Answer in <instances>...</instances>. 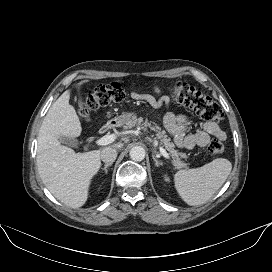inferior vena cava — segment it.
I'll return each mask as SVG.
<instances>
[{
    "label": "inferior vena cava",
    "mask_w": 272,
    "mask_h": 272,
    "mask_svg": "<svg viewBox=\"0 0 272 272\" xmlns=\"http://www.w3.org/2000/svg\"><path fill=\"white\" fill-rule=\"evenodd\" d=\"M101 160L105 163H113L117 158V151L113 147H106L101 150Z\"/></svg>",
    "instance_id": "obj_1"
}]
</instances>
